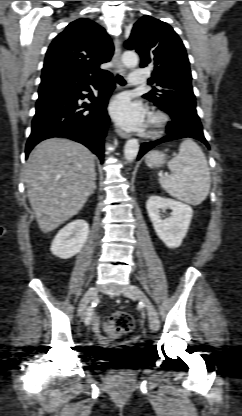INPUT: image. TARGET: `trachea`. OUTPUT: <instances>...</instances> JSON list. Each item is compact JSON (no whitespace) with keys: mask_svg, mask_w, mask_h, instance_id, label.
I'll list each match as a JSON object with an SVG mask.
<instances>
[{"mask_svg":"<svg viewBox=\"0 0 242 416\" xmlns=\"http://www.w3.org/2000/svg\"><path fill=\"white\" fill-rule=\"evenodd\" d=\"M116 80H117V82L120 84V85H125L126 84V81L124 80V78L122 77V76H120V75H117L116 76Z\"/></svg>","mask_w":242,"mask_h":416,"instance_id":"trachea-1","label":"trachea"}]
</instances>
